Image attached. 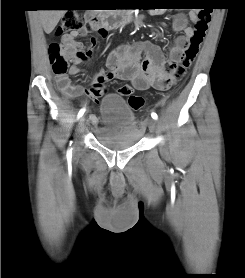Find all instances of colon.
Here are the masks:
<instances>
[{
    "instance_id": "1",
    "label": "colon",
    "mask_w": 245,
    "mask_h": 278,
    "mask_svg": "<svg viewBox=\"0 0 245 278\" xmlns=\"http://www.w3.org/2000/svg\"><path fill=\"white\" fill-rule=\"evenodd\" d=\"M197 16L194 23V34L190 40V44L186 50L185 56L181 63L172 67V75L174 78H181L185 71L191 66L195 60L199 44L202 42L211 21V13L208 6H195ZM92 28L97 25L94 18L87 21L74 12L64 14L55 36L79 32L84 28V24ZM51 36H53L51 34ZM49 53L52 59V70L57 77H63L66 73L69 62L74 60H85L87 53L73 45L65 44L62 41L52 40L49 44ZM118 93L128 98V103L133 110H139L144 104L143 97L132 94V89L128 85L121 86Z\"/></svg>"
}]
</instances>
